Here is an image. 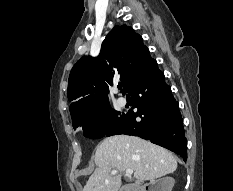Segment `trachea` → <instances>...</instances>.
<instances>
[{
    "label": "trachea",
    "mask_w": 233,
    "mask_h": 191,
    "mask_svg": "<svg viewBox=\"0 0 233 191\" xmlns=\"http://www.w3.org/2000/svg\"><path fill=\"white\" fill-rule=\"evenodd\" d=\"M121 88H122V84H119V85H118V89H121Z\"/></svg>",
    "instance_id": "3493384b"
}]
</instances>
